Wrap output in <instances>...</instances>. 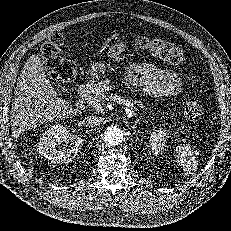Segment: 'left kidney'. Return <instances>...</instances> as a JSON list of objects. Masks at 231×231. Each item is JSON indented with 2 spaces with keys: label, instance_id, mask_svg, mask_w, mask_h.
Returning a JSON list of instances; mask_svg holds the SVG:
<instances>
[{
  "label": "left kidney",
  "instance_id": "obj_1",
  "mask_svg": "<svg viewBox=\"0 0 231 231\" xmlns=\"http://www.w3.org/2000/svg\"><path fill=\"white\" fill-rule=\"evenodd\" d=\"M167 138V132L165 130L154 131L150 136L152 152L155 154L162 153V150L165 147V141Z\"/></svg>",
  "mask_w": 231,
  "mask_h": 231
}]
</instances>
